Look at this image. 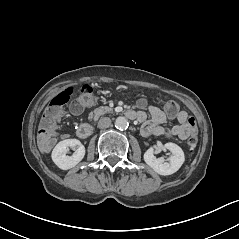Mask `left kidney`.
I'll return each instance as SVG.
<instances>
[{
    "mask_svg": "<svg viewBox=\"0 0 239 239\" xmlns=\"http://www.w3.org/2000/svg\"><path fill=\"white\" fill-rule=\"evenodd\" d=\"M164 146L172 153L169 162L163 163L162 158H156L151 149L145 152L144 161L157 174L167 176L176 173L181 168L185 161V154L182 148L173 142H167Z\"/></svg>",
    "mask_w": 239,
    "mask_h": 239,
    "instance_id": "1",
    "label": "left kidney"
}]
</instances>
